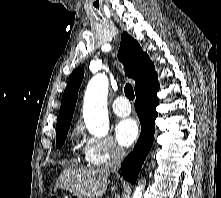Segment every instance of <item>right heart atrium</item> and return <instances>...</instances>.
<instances>
[{"mask_svg": "<svg viewBox=\"0 0 221 198\" xmlns=\"http://www.w3.org/2000/svg\"><path fill=\"white\" fill-rule=\"evenodd\" d=\"M125 150L111 137H87L84 145V157L91 166H103L121 160Z\"/></svg>", "mask_w": 221, "mask_h": 198, "instance_id": "obj_1", "label": "right heart atrium"}]
</instances>
